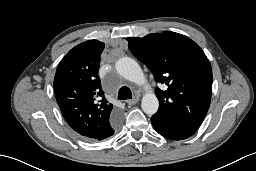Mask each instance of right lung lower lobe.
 Returning <instances> with one entry per match:
<instances>
[{"label": "right lung lower lobe", "instance_id": "98d812e1", "mask_svg": "<svg viewBox=\"0 0 256 171\" xmlns=\"http://www.w3.org/2000/svg\"><path fill=\"white\" fill-rule=\"evenodd\" d=\"M121 121V117L119 114L115 115L111 122H110V128L112 129L113 133L114 131L119 127Z\"/></svg>", "mask_w": 256, "mask_h": 171}]
</instances>
